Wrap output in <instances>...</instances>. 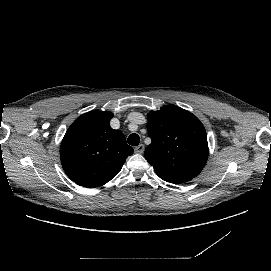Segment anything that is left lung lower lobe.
I'll use <instances>...</instances> for the list:
<instances>
[{
    "mask_svg": "<svg viewBox=\"0 0 271 271\" xmlns=\"http://www.w3.org/2000/svg\"><path fill=\"white\" fill-rule=\"evenodd\" d=\"M157 175L160 178H162L163 180L170 182V183H174V184L184 183V182L190 181L192 179V178H188V177L181 176V175H175V174L157 173Z\"/></svg>",
    "mask_w": 271,
    "mask_h": 271,
    "instance_id": "obj_1",
    "label": "left lung lower lobe"
}]
</instances>
